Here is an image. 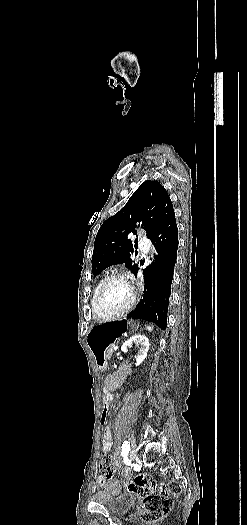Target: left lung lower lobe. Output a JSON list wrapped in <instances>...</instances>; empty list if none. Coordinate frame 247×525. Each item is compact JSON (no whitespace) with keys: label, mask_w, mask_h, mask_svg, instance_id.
<instances>
[{"label":"left lung lower lobe","mask_w":247,"mask_h":525,"mask_svg":"<svg viewBox=\"0 0 247 525\" xmlns=\"http://www.w3.org/2000/svg\"><path fill=\"white\" fill-rule=\"evenodd\" d=\"M149 239L154 244L157 255L153 264L143 271L146 274L144 294L135 311L128 317L147 320L166 329L168 301L178 249L175 213L170 215Z\"/></svg>","instance_id":"1"}]
</instances>
